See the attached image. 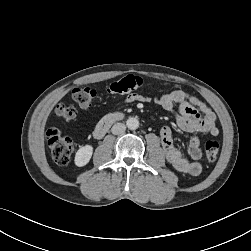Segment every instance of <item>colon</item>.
<instances>
[{
    "label": "colon",
    "mask_w": 251,
    "mask_h": 251,
    "mask_svg": "<svg viewBox=\"0 0 251 251\" xmlns=\"http://www.w3.org/2000/svg\"><path fill=\"white\" fill-rule=\"evenodd\" d=\"M144 84L142 78L129 75L122 79L111 82L105 89L107 94H130L140 89ZM97 97V90L93 87H78L72 91V99L81 108L90 107ZM58 116L66 121L72 120L76 115V109L72 105L59 104L56 108ZM48 145L52 154L53 160L59 165H65L70 161L74 142L63 134L56 127H51L46 132ZM220 145L215 140H209L205 144V156L208 161H215L219 154Z\"/></svg>",
    "instance_id": "obj_1"
}]
</instances>
